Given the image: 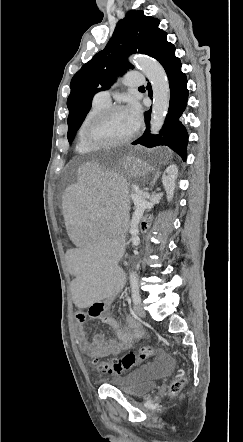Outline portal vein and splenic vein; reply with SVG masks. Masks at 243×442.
Wrapping results in <instances>:
<instances>
[{"label": "portal vein and splenic vein", "mask_w": 243, "mask_h": 442, "mask_svg": "<svg viewBox=\"0 0 243 442\" xmlns=\"http://www.w3.org/2000/svg\"><path fill=\"white\" fill-rule=\"evenodd\" d=\"M131 197H132L133 200H135L138 196L135 195V194H131Z\"/></svg>", "instance_id": "portal-vein-and-splenic-vein-1"}]
</instances>
